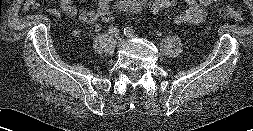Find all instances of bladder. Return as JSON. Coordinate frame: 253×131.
<instances>
[{
	"instance_id": "31cf9c89",
	"label": "bladder",
	"mask_w": 253,
	"mask_h": 131,
	"mask_svg": "<svg viewBox=\"0 0 253 131\" xmlns=\"http://www.w3.org/2000/svg\"><path fill=\"white\" fill-rule=\"evenodd\" d=\"M135 7V2L131 0H123L119 3L118 7L116 8L118 12L126 13L131 12Z\"/></svg>"
}]
</instances>
